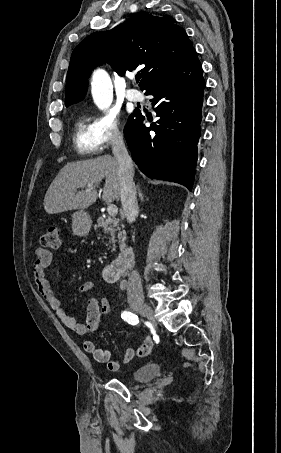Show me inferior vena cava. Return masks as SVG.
I'll return each instance as SVG.
<instances>
[{
    "label": "inferior vena cava",
    "instance_id": "1",
    "mask_svg": "<svg viewBox=\"0 0 281 453\" xmlns=\"http://www.w3.org/2000/svg\"><path fill=\"white\" fill-rule=\"evenodd\" d=\"M113 154L119 164L120 196L128 222H134L138 214L136 188L133 180V162L124 140L118 132L113 140ZM128 299L144 301L142 281L137 271H132L128 281Z\"/></svg>",
    "mask_w": 281,
    "mask_h": 453
}]
</instances>
